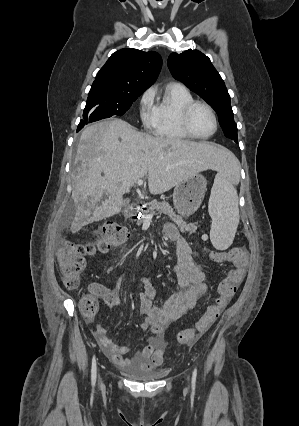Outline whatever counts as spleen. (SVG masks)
I'll list each match as a JSON object with an SVG mask.
<instances>
[{"mask_svg": "<svg viewBox=\"0 0 299 426\" xmlns=\"http://www.w3.org/2000/svg\"><path fill=\"white\" fill-rule=\"evenodd\" d=\"M233 164H236V161ZM208 210L212 217L211 243L218 250H226L235 237L239 223V207L237 191L225 170H220L215 177Z\"/></svg>", "mask_w": 299, "mask_h": 426, "instance_id": "obj_1", "label": "spleen"}]
</instances>
